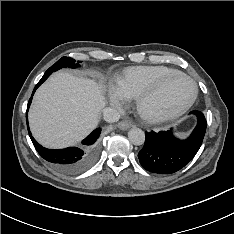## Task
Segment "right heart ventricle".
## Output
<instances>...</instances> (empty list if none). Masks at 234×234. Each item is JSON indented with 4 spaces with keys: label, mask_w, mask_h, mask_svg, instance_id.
<instances>
[{
    "label": "right heart ventricle",
    "mask_w": 234,
    "mask_h": 234,
    "mask_svg": "<svg viewBox=\"0 0 234 234\" xmlns=\"http://www.w3.org/2000/svg\"><path fill=\"white\" fill-rule=\"evenodd\" d=\"M177 72L166 66H136L127 68L117 78V90L126 100L137 99L164 76Z\"/></svg>",
    "instance_id": "1"
}]
</instances>
